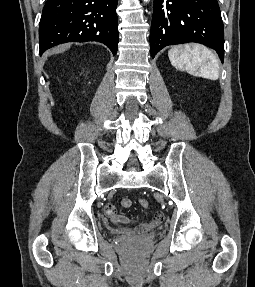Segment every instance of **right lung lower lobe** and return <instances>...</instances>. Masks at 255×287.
Listing matches in <instances>:
<instances>
[{
	"label": "right lung lower lobe",
	"mask_w": 255,
	"mask_h": 287,
	"mask_svg": "<svg viewBox=\"0 0 255 287\" xmlns=\"http://www.w3.org/2000/svg\"><path fill=\"white\" fill-rule=\"evenodd\" d=\"M117 0H48L39 25L40 55L61 43L98 41L118 47Z\"/></svg>",
	"instance_id": "1"
}]
</instances>
